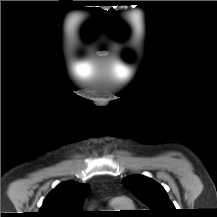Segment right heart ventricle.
Masks as SVG:
<instances>
[{"label":"right heart ventricle","mask_w":217,"mask_h":217,"mask_svg":"<svg viewBox=\"0 0 217 217\" xmlns=\"http://www.w3.org/2000/svg\"><path fill=\"white\" fill-rule=\"evenodd\" d=\"M109 207L113 211H126V210H132L134 209V204L128 200V199H123V200H113L110 202Z\"/></svg>","instance_id":"e07e8e85"}]
</instances>
